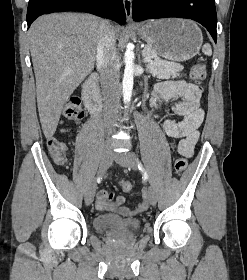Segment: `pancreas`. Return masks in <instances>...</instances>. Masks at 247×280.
Masks as SVG:
<instances>
[{
  "mask_svg": "<svg viewBox=\"0 0 247 280\" xmlns=\"http://www.w3.org/2000/svg\"><path fill=\"white\" fill-rule=\"evenodd\" d=\"M142 53L151 59V61L147 62L146 69L159 79L176 78L179 76V72L183 70V67L177 63L160 59L149 46H146Z\"/></svg>",
  "mask_w": 247,
  "mask_h": 280,
  "instance_id": "cf45deb5",
  "label": "pancreas"
}]
</instances>
